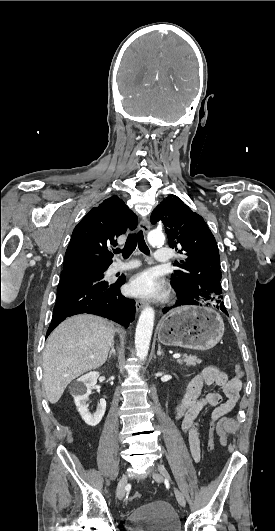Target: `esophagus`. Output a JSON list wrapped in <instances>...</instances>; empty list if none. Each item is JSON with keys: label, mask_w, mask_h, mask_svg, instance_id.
I'll return each mask as SVG.
<instances>
[{"label": "esophagus", "mask_w": 275, "mask_h": 531, "mask_svg": "<svg viewBox=\"0 0 275 531\" xmlns=\"http://www.w3.org/2000/svg\"><path fill=\"white\" fill-rule=\"evenodd\" d=\"M150 230V222L148 219L144 218L139 224V231H143L144 233H148ZM147 305V302L145 300H137L136 301V309L140 310L144 308Z\"/></svg>", "instance_id": "1"}]
</instances>
